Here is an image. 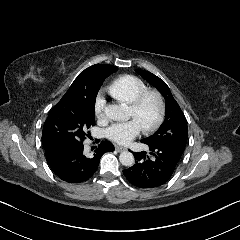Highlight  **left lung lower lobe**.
Wrapping results in <instances>:
<instances>
[{
    "mask_svg": "<svg viewBox=\"0 0 240 240\" xmlns=\"http://www.w3.org/2000/svg\"><path fill=\"white\" fill-rule=\"evenodd\" d=\"M150 158L146 152L134 153L135 165L123 170L126 179L141 189L156 188L172 176L182 154L165 147L149 146Z\"/></svg>",
    "mask_w": 240,
    "mask_h": 240,
    "instance_id": "obj_1",
    "label": "left lung lower lobe"
}]
</instances>
